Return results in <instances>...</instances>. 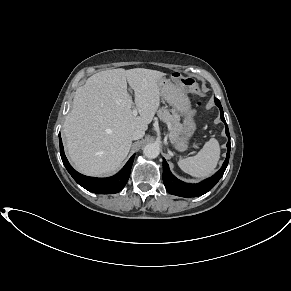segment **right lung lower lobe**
Instances as JSON below:
<instances>
[{
	"mask_svg": "<svg viewBox=\"0 0 291 291\" xmlns=\"http://www.w3.org/2000/svg\"><path fill=\"white\" fill-rule=\"evenodd\" d=\"M59 141H60V154L64 166L66 167L70 175L73 177V179L86 190L97 194H114L121 191L123 187L126 185L130 176V171L132 163L134 161L135 154L129 159L126 165L116 175L112 177L107 178L88 177L78 173L72 168L64 154L63 144L60 136Z\"/></svg>",
	"mask_w": 291,
	"mask_h": 291,
	"instance_id": "1",
	"label": "right lung lower lobe"
}]
</instances>
